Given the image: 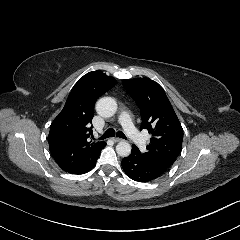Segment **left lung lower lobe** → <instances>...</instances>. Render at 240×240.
<instances>
[{
  "instance_id": "obj_1",
  "label": "left lung lower lobe",
  "mask_w": 240,
  "mask_h": 240,
  "mask_svg": "<svg viewBox=\"0 0 240 240\" xmlns=\"http://www.w3.org/2000/svg\"><path fill=\"white\" fill-rule=\"evenodd\" d=\"M121 165L129 178L138 182H149L161 176L167 169L153 165L134 151L125 157Z\"/></svg>"
}]
</instances>
